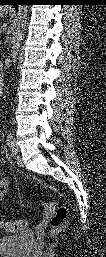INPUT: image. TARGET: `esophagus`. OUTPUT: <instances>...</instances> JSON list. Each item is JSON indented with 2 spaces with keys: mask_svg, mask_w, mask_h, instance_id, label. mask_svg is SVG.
<instances>
[{
  "mask_svg": "<svg viewBox=\"0 0 106 257\" xmlns=\"http://www.w3.org/2000/svg\"><path fill=\"white\" fill-rule=\"evenodd\" d=\"M5 9H6V10H11V7L8 6V7H6Z\"/></svg>",
  "mask_w": 106,
  "mask_h": 257,
  "instance_id": "1",
  "label": "esophagus"
}]
</instances>
